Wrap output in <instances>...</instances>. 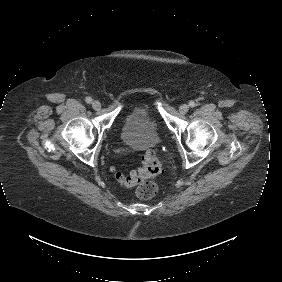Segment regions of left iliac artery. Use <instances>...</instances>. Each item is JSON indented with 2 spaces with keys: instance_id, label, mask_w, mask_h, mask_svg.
<instances>
[{
  "instance_id": "44dca946",
  "label": "left iliac artery",
  "mask_w": 282,
  "mask_h": 282,
  "mask_svg": "<svg viewBox=\"0 0 282 282\" xmlns=\"http://www.w3.org/2000/svg\"><path fill=\"white\" fill-rule=\"evenodd\" d=\"M189 105H190V107H195L196 104H195V102L190 101V102H189Z\"/></svg>"
}]
</instances>
